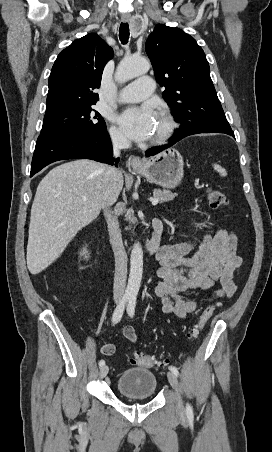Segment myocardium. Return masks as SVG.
<instances>
[{
  "label": "myocardium",
  "mask_w": 272,
  "mask_h": 452,
  "mask_svg": "<svg viewBox=\"0 0 272 452\" xmlns=\"http://www.w3.org/2000/svg\"><path fill=\"white\" fill-rule=\"evenodd\" d=\"M160 116L164 121V128L159 135L150 140V144L153 145L162 144L169 140L176 129V122L168 112L163 111Z\"/></svg>",
  "instance_id": "1"
}]
</instances>
